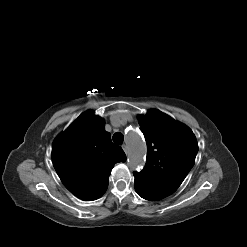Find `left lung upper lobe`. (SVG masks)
Instances as JSON below:
<instances>
[{
	"mask_svg": "<svg viewBox=\"0 0 247 247\" xmlns=\"http://www.w3.org/2000/svg\"><path fill=\"white\" fill-rule=\"evenodd\" d=\"M147 143L146 166L135 180L165 198L174 193L194 165L198 143L192 130L161 111L139 115Z\"/></svg>",
	"mask_w": 247,
	"mask_h": 247,
	"instance_id": "left-lung-upper-lobe-1",
	"label": "left lung upper lobe"
}]
</instances>
